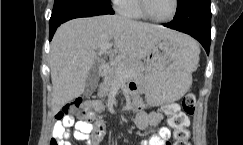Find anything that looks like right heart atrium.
<instances>
[{
  "label": "right heart atrium",
  "mask_w": 243,
  "mask_h": 145,
  "mask_svg": "<svg viewBox=\"0 0 243 145\" xmlns=\"http://www.w3.org/2000/svg\"><path fill=\"white\" fill-rule=\"evenodd\" d=\"M114 2V4L118 7L123 0H112Z\"/></svg>",
  "instance_id": "right-heart-atrium-1"
}]
</instances>
